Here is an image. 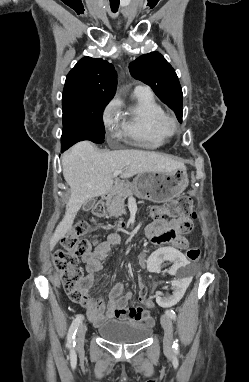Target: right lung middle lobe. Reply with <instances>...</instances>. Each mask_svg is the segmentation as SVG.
<instances>
[{
	"label": "right lung middle lobe",
	"instance_id": "dd1d6c3e",
	"mask_svg": "<svg viewBox=\"0 0 249 382\" xmlns=\"http://www.w3.org/2000/svg\"><path fill=\"white\" fill-rule=\"evenodd\" d=\"M108 102L94 100L63 109L61 148L66 150L82 140L102 143L105 133L102 114Z\"/></svg>",
	"mask_w": 249,
	"mask_h": 382
}]
</instances>
